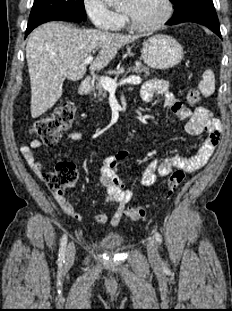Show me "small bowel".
Returning <instances> with one entry per match:
<instances>
[{
	"label": "small bowel",
	"mask_w": 232,
	"mask_h": 311,
	"mask_svg": "<svg viewBox=\"0 0 232 311\" xmlns=\"http://www.w3.org/2000/svg\"><path fill=\"white\" fill-rule=\"evenodd\" d=\"M156 95L162 97L165 106L180 118H189L185 125V130L191 135L204 134V140L198 152L191 157L173 155L168 159L159 161L157 159L149 163L143 171L140 182L145 187L152 186L157 177H167L174 169H182L186 172H194L202 168L209 160L211 154L217 147L221 136V123L212 118L207 108L198 106L190 109L169 91L168 83L161 79L146 81L141 88V97L144 102L151 103ZM83 134L79 131H72L67 134L69 141H80ZM44 146L38 139L31 140L21 147V153L32 171L45 181V175L41 162L35 157L34 151ZM128 156L127 150H120L114 155L107 156L103 160L99 177L100 184L106 190L105 201L107 203H117L118 209L112 214L98 213L94 216V221L98 224L109 220L111 227L119 225L124 206L132 199L133 193L125 187V180L120 174L119 165ZM54 198L63 212L76 221L83 219L82 213L78 212L74 206L65 198L63 194L54 193Z\"/></svg>",
	"instance_id": "c3829d8e"
}]
</instances>
